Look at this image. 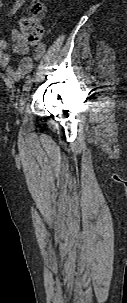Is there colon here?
Returning <instances> with one entry per match:
<instances>
[{"instance_id":"colon-1","label":"colon","mask_w":127,"mask_h":303,"mask_svg":"<svg viewBox=\"0 0 127 303\" xmlns=\"http://www.w3.org/2000/svg\"><path fill=\"white\" fill-rule=\"evenodd\" d=\"M32 11L34 14L33 18L21 21V35L26 43L37 44L43 38V29L36 17L41 15L43 6L40 3H35Z\"/></svg>"}]
</instances>
